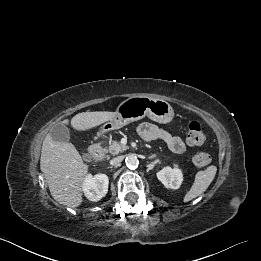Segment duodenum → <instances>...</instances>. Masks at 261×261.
Masks as SVG:
<instances>
[{
	"mask_svg": "<svg viewBox=\"0 0 261 261\" xmlns=\"http://www.w3.org/2000/svg\"><path fill=\"white\" fill-rule=\"evenodd\" d=\"M89 154L94 161H99L103 158L104 149L100 141H96L94 144L91 145V147L89 148Z\"/></svg>",
	"mask_w": 261,
	"mask_h": 261,
	"instance_id": "1",
	"label": "duodenum"
}]
</instances>
